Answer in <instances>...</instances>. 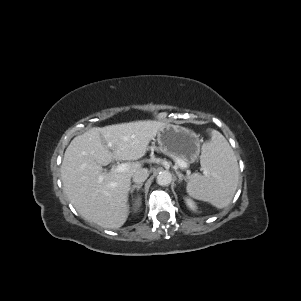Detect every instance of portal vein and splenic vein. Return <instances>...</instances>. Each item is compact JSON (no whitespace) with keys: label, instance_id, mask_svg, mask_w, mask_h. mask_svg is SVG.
Returning a JSON list of instances; mask_svg holds the SVG:
<instances>
[{"label":"portal vein and splenic vein","instance_id":"1","mask_svg":"<svg viewBox=\"0 0 301 301\" xmlns=\"http://www.w3.org/2000/svg\"><path fill=\"white\" fill-rule=\"evenodd\" d=\"M111 146V145H109ZM177 164L180 166V167H186V163L178 160L177 161ZM129 165L127 163H122V164H118L116 167L113 168V171L114 172H117V173H121V172H124L128 169Z\"/></svg>","mask_w":301,"mask_h":301}]
</instances>
